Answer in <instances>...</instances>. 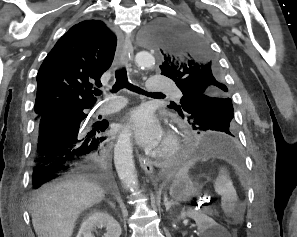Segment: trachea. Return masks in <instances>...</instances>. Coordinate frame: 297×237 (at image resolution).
<instances>
[{
	"mask_svg": "<svg viewBox=\"0 0 297 237\" xmlns=\"http://www.w3.org/2000/svg\"><path fill=\"white\" fill-rule=\"evenodd\" d=\"M115 78H116V82L114 84V86L112 87L111 92H117L120 89L126 88L128 90L134 91L136 93L139 94H145V95H154V94H158V93H148L144 90H142L141 88L134 86L133 84H131L128 81V77H127V71L125 68H121L119 70H116L115 72ZM94 95L96 96H100L102 94V91L99 89H95L93 91Z\"/></svg>",
	"mask_w": 297,
	"mask_h": 237,
	"instance_id": "3493384b",
	"label": "trachea"
}]
</instances>
